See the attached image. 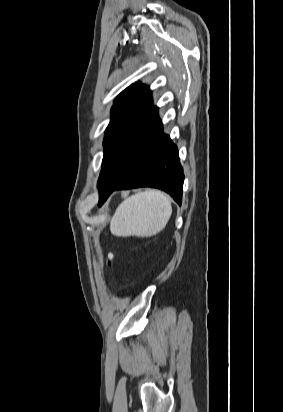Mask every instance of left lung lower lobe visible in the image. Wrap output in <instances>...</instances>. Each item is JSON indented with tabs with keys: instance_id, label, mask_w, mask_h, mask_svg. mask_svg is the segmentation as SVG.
Wrapping results in <instances>:
<instances>
[{
	"instance_id": "0a47b994",
	"label": "left lung lower lobe",
	"mask_w": 283,
	"mask_h": 412,
	"mask_svg": "<svg viewBox=\"0 0 283 412\" xmlns=\"http://www.w3.org/2000/svg\"><path fill=\"white\" fill-rule=\"evenodd\" d=\"M129 168L127 159L103 157L99 176V203L101 206L112 192L120 189L154 187L169 193L181 205L184 174L179 163L178 149L162 123L156 127L149 148L139 164L125 175Z\"/></svg>"
}]
</instances>
